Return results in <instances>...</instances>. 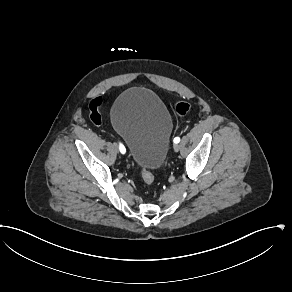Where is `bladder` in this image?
I'll return each instance as SVG.
<instances>
[{"label":"bladder","instance_id":"bladder-1","mask_svg":"<svg viewBox=\"0 0 292 292\" xmlns=\"http://www.w3.org/2000/svg\"><path fill=\"white\" fill-rule=\"evenodd\" d=\"M110 121L136 165L150 171L163 165L173 121L155 92L144 87L126 89L115 100Z\"/></svg>","mask_w":292,"mask_h":292}]
</instances>
